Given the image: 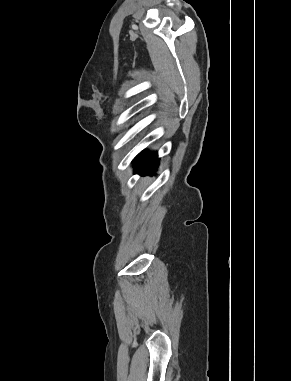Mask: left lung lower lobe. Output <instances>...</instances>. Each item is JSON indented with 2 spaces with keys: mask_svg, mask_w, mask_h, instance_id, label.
Instances as JSON below:
<instances>
[{
  "mask_svg": "<svg viewBox=\"0 0 291 381\" xmlns=\"http://www.w3.org/2000/svg\"><path fill=\"white\" fill-rule=\"evenodd\" d=\"M158 157L156 152H141L135 159V172L143 175L153 173L158 165Z\"/></svg>",
  "mask_w": 291,
  "mask_h": 381,
  "instance_id": "1",
  "label": "left lung lower lobe"
}]
</instances>
